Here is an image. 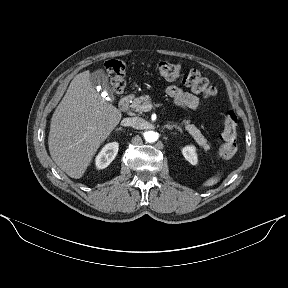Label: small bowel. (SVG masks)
Segmentation results:
<instances>
[{"label": "small bowel", "instance_id": "1", "mask_svg": "<svg viewBox=\"0 0 288 288\" xmlns=\"http://www.w3.org/2000/svg\"><path fill=\"white\" fill-rule=\"evenodd\" d=\"M166 93L173 99L177 106L184 109L194 110L199 106V98L196 95L186 92L175 85L168 86Z\"/></svg>", "mask_w": 288, "mask_h": 288}]
</instances>
